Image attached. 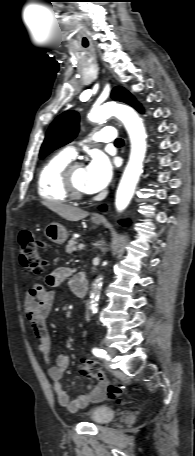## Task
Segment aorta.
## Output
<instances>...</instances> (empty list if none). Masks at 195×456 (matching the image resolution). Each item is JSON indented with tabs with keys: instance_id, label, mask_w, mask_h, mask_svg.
<instances>
[{
	"instance_id": "obj_1",
	"label": "aorta",
	"mask_w": 195,
	"mask_h": 456,
	"mask_svg": "<svg viewBox=\"0 0 195 456\" xmlns=\"http://www.w3.org/2000/svg\"><path fill=\"white\" fill-rule=\"evenodd\" d=\"M110 116H116L120 119L129 135L131 150L128 163L121 177L116 192L115 206L118 211L124 210L130 203L140 175L143 171V161L147 149L146 131L141 118L133 108L117 103H105L104 105L93 109L88 118L92 122L106 120ZM100 280V279H99ZM101 286V283H98ZM99 295L94 298L91 304L92 312L97 311V301Z\"/></svg>"
}]
</instances>
